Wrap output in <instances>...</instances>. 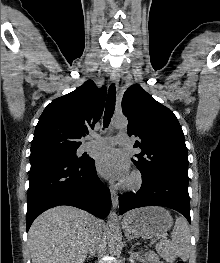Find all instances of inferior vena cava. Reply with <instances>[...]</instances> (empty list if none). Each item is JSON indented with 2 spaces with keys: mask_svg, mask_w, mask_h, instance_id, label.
Listing matches in <instances>:
<instances>
[{
  "mask_svg": "<svg viewBox=\"0 0 220 263\" xmlns=\"http://www.w3.org/2000/svg\"><path fill=\"white\" fill-rule=\"evenodd\" d=\"M101 230L92 229L90 238V253L95 252L96 246L101 240Z\"/></svg>",
  "mask_w": 220,
  "mask_h": 263,
  "instance_id": "obj_1",
  "label": "inferior vena cava"
}]
</instances>
